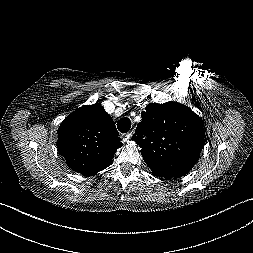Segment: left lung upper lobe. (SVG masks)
<instances>
[{
	"mask_svg": "<svg viewBox=\"0 0 253 253\" xmlns=\"http://www.w3.org/2000/svg\"><path fill=\"white\" fill-rule=\"evenodd\" d=\"M141 117L134 140L153 174L166 179L186 175L204 148L202 119L178 102L150 103Z\"/></svg>",
	"mask_w": 253,
	"mask_h": 253,
	"instance_id": "left-lung-upper-lobe-1",
	"label": "left lung upper lobe"
}]
</instances>
